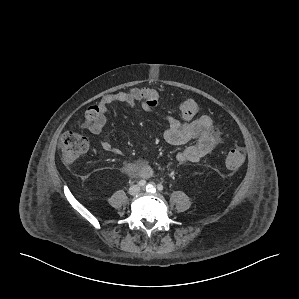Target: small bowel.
<instances>
[{"mask_svg":"<svg viewBox=\"0 0 299 299\" xmlns=\"http://www.w3.org/2000/svg\"><path fill=\"white\" fill-rule=\"evenodd\" d=\"M114 103H124L133 110L145 113H151L155 108L146 104L141 96L140 88L107 94L99 102V116L97 120L88 126L92 134L99 135L102 132L107 121L109 108ZM165 119L168 123V128L164 132V139L169 144L184 145L195 141L194 144L187 146L176 154L175 159L180 164L201 160L222 141L221 134L215 130L213 120L208 115H201L189 120L166 115ZM99 145L107 152L121 153L118 147L105 139H100ZM134 167V174L138 177L149 178L153 174V169L145 159L139 160Z\"/></svg>","mask_w":299,"mask_h":299,"instance_id":"obj_1","label":"small bowel"}]
</instances>
